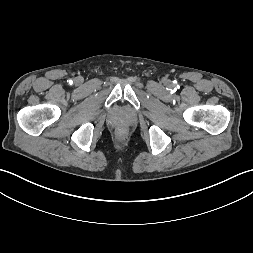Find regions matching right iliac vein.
<instances>
[{
  "label": "right iliac vein",
  "mask_w": 253,
  "mask_h": 253,
  "mask_svg": "<svg viewBox=\"0 0 253 253\" xmlns=\"http://www.w3.org/2000/svg\"><path fill=\"white\" fill-rule=\"evenodd\" d=\"M77 82H81V79H80V78H78V79H77Z\"/></svg>",
  "instance_id": "obj_1"
}]
</instances>
